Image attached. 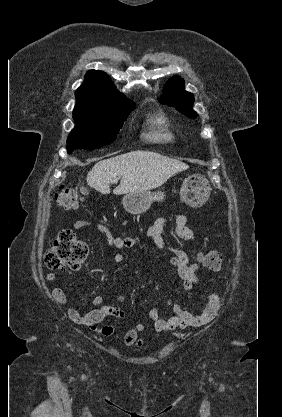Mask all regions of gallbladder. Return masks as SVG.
I'll use <instances>...</instances> for the list:
<instances>
[{
	"mask_svg": "<svg viewBox=\"0 0 282 417\" xmlns=\"http://www.w3.org/2000/svg\"><path fill=\"white\" fill-rule=\"evenodd\" d=\"M80 192H82V194H89V190H87L85 186H80Z\"/></svg>",
	"mask_w": 282,
	"mask_h": 417,
	"instance_id": "gallbladder-1",
	"label": "gallbladder"
}]
</instances>
